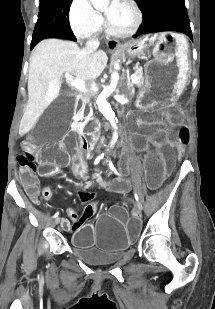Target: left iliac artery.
<instances>
[{"instance_id": "1", "label": "left iliac artery", "mask_w": 215, "mask_h": 309, "mask_svg": "<svg viewBox=\"0 0 215 309\" xmlns=\"http://www.w3.org/2000/svg\"><path fill=\"white\" fill-rule=\"evenodd\" d=\"M108 163H109L110 169H111L115 174L119 175V173L117 172L116 168L114 167L112 161L109 160ZM134 196H135V199H136V201H137V204L140 205V208L142 209V204L140 203L139 196H138V194H137L136 192L134 193Z\"/></svg>"}]
</instances>
